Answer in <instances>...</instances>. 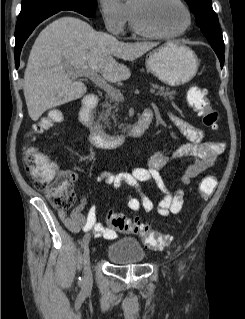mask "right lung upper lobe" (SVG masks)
Listing matches in <instances>:
<instances>
[{
  "label": "right lung upper lobe",
  "mask_w": 245,
  "mask_h": 319,
  "mask_svg": "<svg viewBox=\"0 0 245 319\" xmlns=\"http://www.w3.org/2000/svg\"><path fill=\"white\" fill-rule=\"evenodd\" d=\"M57 10H66V9H57ZM53 11H55V10H53Z\"/></svg>",
  "instance_id": "obj_1"
}]
</instances>
